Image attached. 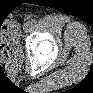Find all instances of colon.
<instances>
[{
  "mask_svg": "<svg viewBox=\"0 0 93 93\" xmlns=\"http://www.w3.org/2000/svg\"><path fill=\"white\" fill-rule=\"evenodd\" d=\"M14 43V32L7 26L3 25L0 33V51L3 60L12 57Z\"/></svg>",
  "mask_w": 93,
  "mask_h": 93,
  "instance_id": "colon-1",
  "label": "colon"
}]
</instances>
